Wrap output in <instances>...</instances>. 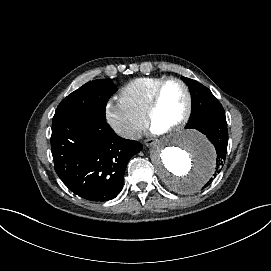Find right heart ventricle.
Returning a JSON list of instances; mask_svg holds the SVG:
<instances>
[{"label": "right heart ventricle", "mask_w": 271, "mask_h": 271, "mask_svg": "<svg viewBox=\"0 0 271 271\" xmlns=\"http://www.w3.org/2000/svg\"><path fill=\"white\" fill-rule=\"evenodd\" d=\"M165 76H145L133 79L122 87L121 98L135 113L145 116L153 90Z\"/></svg>", "instance_id": "obj_1"}]
</instances>
